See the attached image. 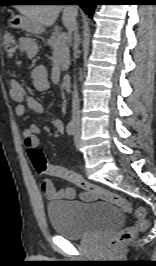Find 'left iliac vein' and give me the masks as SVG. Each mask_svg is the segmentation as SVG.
Here are the masks:
<instances>
[{"instance_id":"left-iliac-vein-1","label":"left iliac vein","mask_w":156,"mask_h":266,"mask_svg":"<svg viewBox=\"0 0 156 266\" xmlns=\"http://www.w3.org/2000/svg\"><path fill=\"white\" fill-rule=\"evenodd\" d=\"M80 134H81V126H80V123L78 122L76 125V131L74 135V142H75L76 148L80 147Z\"/></svg>"}]
</instances>
